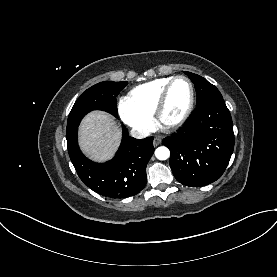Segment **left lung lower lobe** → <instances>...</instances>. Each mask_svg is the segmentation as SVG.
<instances>
[{
	"label": "left lung lower lobe",
	"mask_w": 277,
	"mask_h": 277,
	"mask_svg": "<svg viewBox=\"0 0 277 277\" xmlns=\"http://www.w3.org/2000/svg\"><path fill=\"white\" fill-rule=\"evenodd\" d=\"M162 143L170 150V167L181 184L201 187L219 179L234 149L232 118L223 97L197 106L187 125Z\"/></svg>",
	"instance_id": "left-lung-lower-lobe-1"
}]
</instances>
